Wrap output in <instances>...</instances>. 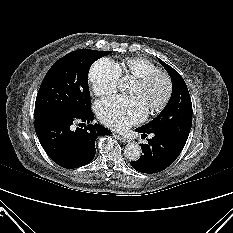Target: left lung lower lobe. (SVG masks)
I'll use <instances>...</instances> for the list:
<instances>
[{
  "label": "left lung lower lobe",
  "instance_id": "obj_1",
  "mask_svg": "<svg viewBox=\"0 0 233 233\" xmlns=\"http://www.w3.org/2000/svg\"><path fill=\"white\" fill-rule=\"evenodd\" d=\"M135 131L143 133L144 137L148 134L153 136L147 139L148 144H141L143 151L141 157L131 162V166L139 172L151 174L166 169L176 160L185 146V142L162 129L145 131L137 128Z\"/></svg>",
  "mask_w": 233,
  "mask_h": 233
}]
</instances>
